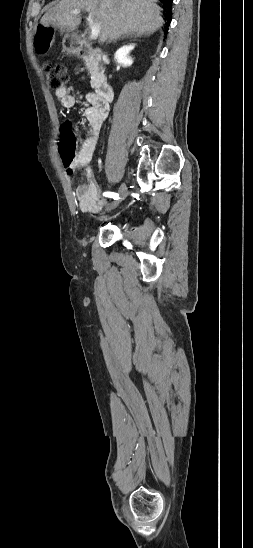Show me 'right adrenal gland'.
Instances as JSON below:
<instances>
[{"label": "right adrenal gland", "instance_id": "right-adrenal-gland-1", "mask_svg": "<svg viewBox=\"0 0 253 548\" xmlns=\"http://www.w3.org/2000/svg\"><path fill=\"white\" fill-rule=\"evenodd\" d=\"M129 37H132V35H130V34L122 35V36L117 37V38H115V39L109 40L108 43L116 42L117 40L124 39V38H129ZM134 37H137V36L134 35ZM108 43H107V44H108Z\"/></svg>", "mask_w": 253, "mask_h": 548}]
</instances>
